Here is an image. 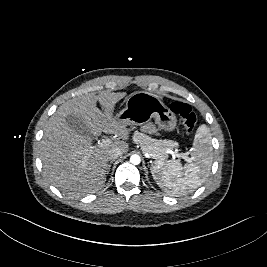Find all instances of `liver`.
Segmentation results:
<instances>
[{
	"instance_id": "1",
	"label": "liver",
	"mask_w": 267,
	"mask_h": 267,
	"mask_svg": "<svg viewBox=\"0 0 267 267\" xmlns=\"http://www.w3.org/2000/svg\"><path fill=\"white\" fill-rule=\"evenodd\" d=\"M126 95L102 92L75 97L63 103L46 123L40 159L46 178L63 193L78 196L98 191L105 183L109 150L119 148L122 153L128 152L129 145L124 141L129 139L128 125L113 116L116 103ZM69 115L79 117L92 136L104 132L122 140L91 146L92 137L82 136L69 126L66 119Z\"/></svg>"
}]
</instances>
